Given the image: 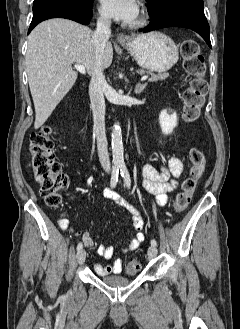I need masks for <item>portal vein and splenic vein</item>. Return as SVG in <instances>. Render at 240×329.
Segmentation results:
<instances>
[{"label": "portal vein and splenic vein", "instance_id": "18ae733b", "mask_svg": "<svg viewBox=\"0 0 240 329\" xmlns=\"http://www.w3.org/2000/svg\"><path fill=\"white\" fill-rule=\"evenodd\" d=\"M75 68L81 73V74H85L86 73V70H85V67L83 65H79V64H76L75 65ZM148 79V76L145 75L141 78V81H145Z\"/></svg>", "mask_w": 240, "mask_h": 329}]
</instances>
